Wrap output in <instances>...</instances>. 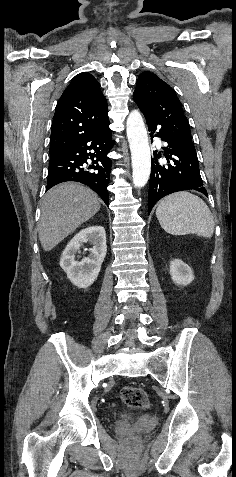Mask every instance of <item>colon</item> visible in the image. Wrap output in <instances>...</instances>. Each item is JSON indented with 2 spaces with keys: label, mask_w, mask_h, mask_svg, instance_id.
I'll use <instances>...</instances> for the list:
<instances>
[{
  "label": "colon",
  "mask_w": 236,
  "mask_h": 477,
  "mask_svg": "<svg viewBox=\"0 0 236 477\" xmlns=\"http://www.w3.org/2000/svg\"><path fill=\"white\" fill-rule=\"evenodd\" d=\"M120 399L127 406L146 409L149 406V399L147 394L139 387L136 386H124L120 390Z\"/></svg>",
  "instance_id": "5ec220e1"
}]
</instances>
